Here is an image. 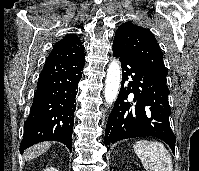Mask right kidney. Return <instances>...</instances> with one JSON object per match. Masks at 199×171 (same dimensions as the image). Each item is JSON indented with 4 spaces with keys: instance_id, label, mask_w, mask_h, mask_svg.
<instances>
[{
    "instance_id": "1",
    "label": "right kidney",
    "mask_w": 199,
    "mask_h": 171,
    "mask_svg": "<svg viewBox=\"0 0 199 171\" xmlns=\"http://www.w3.org/2000/svg\"><path fill=\"white\" fill-rule=\"evenodd\" d=\"M44 171H58V170L53 167H49V168H46Z\"/></svg>"
}]
</instances>
